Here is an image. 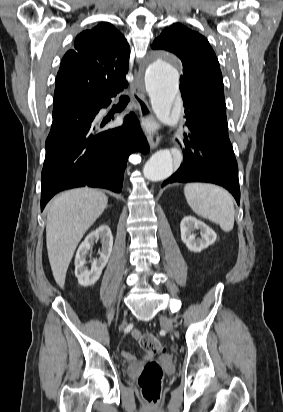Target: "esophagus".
I'll return each instance as SVG.
<instances>
[{
    "label": "esophagus",
    "instance_id": "34e87169",
    "mask_svg": "<svg viewBox=\"0 0 283 412\" xmlns=\"http://www.w3.org/2000/svg\"><path fill=\"white\" fill-rule=\"evenodd\" d=\"M132 96L137 104L140 118L142 120H145L147 117H151V108L146 98L144 87L140 86L136 79L132 83ZM148 142L151 149H154L158 146L160 142V136L157 130H153L149 133Z\"/></svg>",
    "mask_w": 283,
    "mask_h": 412
}]
</instances>
